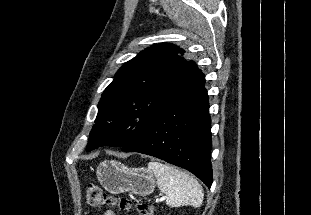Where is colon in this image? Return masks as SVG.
<instances>
[{
  "mask_svg": "<svg viewBox=\"0 0 311 215\" xmlns=\"http://www.w3.org/2000/svg\"><path fill=\"white\" fill-rule=\"evenodd\" d=\"M87 203L94 208L103 206H116L122 211H128L131 208V201L126 198H116L105 193L99 186L89 183L86 186ZM139 215H152V207L146 203L138 205Z\"/></svg>",
  "mask_w": 311,
  "mask_h": 215,
  "instance_id": "obj_1",
  "label": "colon"
}]
</instances>
